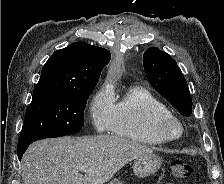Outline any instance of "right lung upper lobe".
I'll return each mask as SVG.
<instances>
[{
	"instance_id": "obj_1",
	"label": "right lung upper lobe",
	"mask_w": 224,
	"mask_h": 184,
	"mask_svg": "<svg viewBox=\"0 0 224 184\" xmlns=\"http://www.w3.org/2000/svg\"><path fill=\"white\" fill-rule=\"evenodd\" d=\"M110 58L108 50L83 42L57 50L43 66L34 92L92 89Z\"/></svg>"
}]
</instances>
